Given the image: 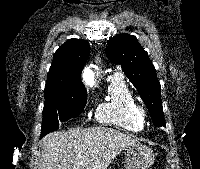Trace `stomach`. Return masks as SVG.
Instances as JSON below:
<instances>
[{
  "label": "stomach",
  "instance_id": "stomach-1",
  "mask_svg": "<svg viewBox=\"0 0 200 169\" xmlns=\"http://www.w3.org/2000/svg\"><path fill=\"white\" fill-rule=\"evenodd\" d=\"M153 151L144 145H134L126 149L125 169H148L154 162Z\"/></svg>",
  "mask_w": 200,
  "mask_h": 169
}]
</instances>
